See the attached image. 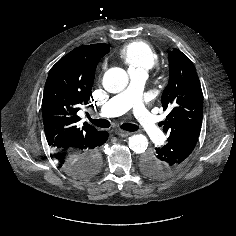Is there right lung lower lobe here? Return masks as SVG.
Here are the masks:
<instances>
[{"instance_id": "1", "label": "right lung lower lobe", "mask_w": 236, "mask_h": 236, "mask_svg": "<svg viewBox=\"0 0 236 236\" xmlns=\"http://www.w3.org/2000/svg\"><path fill=\"white\" fill-rule=\"evenodd\" d=\"M108 139V132L102 131L97 141L90 146L86 153L68 150L55 152L54 156L58 160L60 167H63L68 173L78 178L86 177V168L89 162H97L101 167L100 147Z\"/></svg>"}]
</instances>
